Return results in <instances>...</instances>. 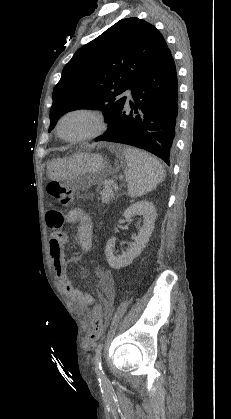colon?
Listing matches in <instances>:
<instances>
[{"mask_svg":"<svg viewBox=\"0 0 231 419\" xmlns=\"http://www.w3.org/2000/svg\"><path fill=\"white\" fill-rule=\"evenodd\" d=\"M48 193L56 200V202L61 206L68 205L72 200V191L71 189L59 182H51L47 186ZM89 265L87 263H82L80 265L78 278L84 280L85 282H90L92 280V275L88 273ZM95 298L101 297L100 291L94 292ZM104 331L103 315L101 308L96 306L92 310V331L89 335L87 342H92L96 340Z\"/></svg>","mask_w":231,"mask_h":419,"instance_id":"5ec220e1","label":"colon"}]
</instances>
